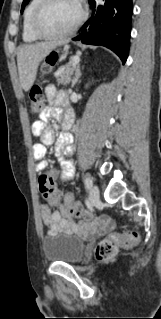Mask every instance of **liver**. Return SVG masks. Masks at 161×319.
<instances>
[{
    "instance_id": "1",
    "label": "liver",
    "mask_w": 161,
    "mask_h": 319,
    "mask_svg": "<svg viewBox=\"0 0 161 319\" xmlns=\"http://www.w3.org/2000/svg\"><path fill=\"white\" fill-rule=\"evenodd\" d=\"M57 43L46 41L21 45L17 49V65L21 87L28 91L33 85L40 62L56 47Z\"/></svg>"
}]
</instances>
